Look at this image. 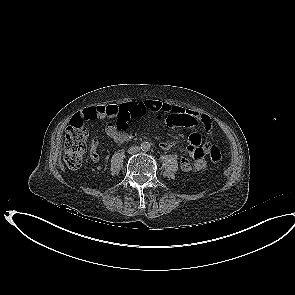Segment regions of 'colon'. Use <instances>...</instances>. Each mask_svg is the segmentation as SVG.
<instances>
[{"instance_id": "1", "label": "colon", "mask_w": 295, "mask_h": 295, "mask_svg": "<svg viewBox=\"0 0 295 295\" xmlns=\"http://www.w3.org/2000/svg\"><path fill=\"white\" fill-rule=\"evenodd\" d=\"M106 117L113 119L117 127L124 129L133 117V113L131 108L125 105L108 106ZM87 138L88 130L84 122L74 118L66 130L64 142V161L70 169L76 170L82 166L87 148ZM209 157L214 163H220L223 158L221 150L216 146L211 147Z\"/></svg>"}]
</instances>
